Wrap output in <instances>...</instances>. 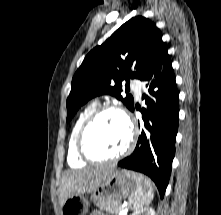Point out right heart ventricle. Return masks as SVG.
Listing matches in <instances>:
<instances>
[{
	"label": "right heart ventricle",
	"mask_w": 221,
	"mask_h": 215,
	"mask_svg": "<svg viewBox=\"0 0 221 215\" xmlns=\"http://www.w3.org/2000/svg\"><path fill=\"white\" fill-rule=\"evenodd\" d=\"M96 108H97V103L95 101H92L89 104H87L78 115L72 127L69 141H68L67 161H68V164L73 168H80V167L85 166L86 164V162L82 160L77 153L76 138L83 122Z\"/></svg>",
	"instance_id": "obj_1"
}]
</instances>
